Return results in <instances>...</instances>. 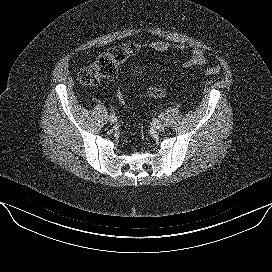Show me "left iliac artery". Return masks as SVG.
Returning a JSON list of instances; mask_svg holds the SVG:
<instances>
[{"mask_svg":"<svg viewBox=\"0 0 272 272\" xmlns=\"http://www.w3.org/2000/svg\"><path fill=\"white\" fill-rule=\"evenodd\" d=\"M159 118H160L161 120L165 119L163 114H160V115H159Z\"/></svg>","mask_w":272,"mask_h":272,"instance_id":"44dca946","label":"left iliac artery"}]
</instances>
